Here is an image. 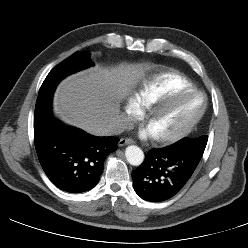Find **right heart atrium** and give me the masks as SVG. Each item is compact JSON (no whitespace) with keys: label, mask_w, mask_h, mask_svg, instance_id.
Segmentation results:
<instances>
[{"label":"right heart atrium","mask_w":248,"mask_h":248,"mask_svg":"<svg viewBox=\"0 0 248 248\" xmlns=\"http://www.w3.org/2000/svg\"><path fill=\"white\" fill-rule=\"evenodd\" d=\"M125 113L128 123H131L141 115V106L136 99H128L125 105Z\"/></svg>","instance_id":"obj_1"}]
</instances>
